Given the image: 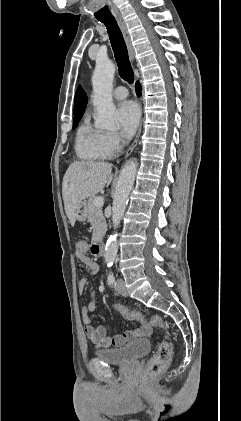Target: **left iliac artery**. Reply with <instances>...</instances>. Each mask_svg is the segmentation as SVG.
<instances>
[{
  "label": "left iliac artery",
  "mask_w": 241,
  "mask_h": 421,
  "mask_svg": "<svg viewBox=\"0 0 241 421\" xmlns=\"http://www.w3.org/2000/svg\"><path fill=\"white\" fill-rule=\"evenodd\" d=\"M107 282L109 285H113L115 283V277L112 272L108 274Z\"/></svg>",
  "instance_id": "obj_1"
}]
</instances>
